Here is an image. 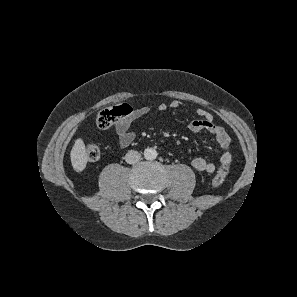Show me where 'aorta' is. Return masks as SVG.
<instances>
[{"mask_svg":"<svg viewBox=\"0 0 297 297\" xmlns=\"http://www.w3.org/2000/svg\"><path fill=\"white\" fill-rule=\"evenodd\" d=\"M144 157L147 160H154L157 157V151L154 148H146L144 150Z\"/></svg>","mask_w":297,"mask_h":297,"instance_id":"obj_1","label":"aorta"}]
</instances>
